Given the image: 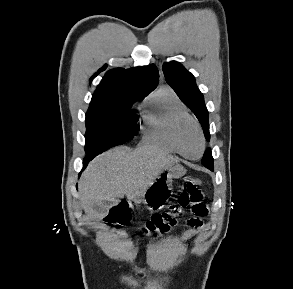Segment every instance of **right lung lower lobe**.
Here are the masks:
<instances>
[{"mask_svg":"<svg viewBox=\"0 0 293 289\" xmlns=\"http://www.w3.org/2000/svg\"><path fill=\"white\" fill-rule=\"evenodd\" d=\"M91 160V158L86 157V159L83 162L84 167H86L87 163Z\"/></svg>","mask_w":293,"mask_h":289,"instance_id":"right-lung-lower-lobe-1","label":"right lung lower lobe"}]
</instances>
